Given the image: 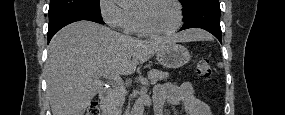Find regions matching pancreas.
<instances>
[{"label":"pancreas","mask_w":285,"mask_h":115,"mask_svg":"<svg viewBox=\"0 0 285 115\" xmlns=\"http://www.w3.org/2000/svg\"><path fill=\"white\" fill-rule=\"evenodd\" d=\"M148 77L152 83H156L160 80L167 79L169 77V73L153 69L148 73ZM125 95L126 90L123 85L114 86V88L108 93L105 108L118 115L125 101Z\"/></svg>","instance_id":"cf45deb5"}]
</instances>
